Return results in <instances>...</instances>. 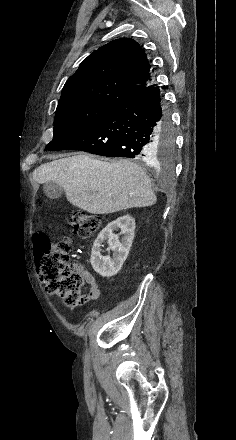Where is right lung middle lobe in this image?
<instances>
[{
    "instance_id": "right-lung-middle-lobe-1",
    "label": "right lung middle lobe",
    "mask_w": 236,
    "mask_h": 440,
    "mask_svg": "<svg viewBox=\"0 0 236 440\" xmlns=\"http://www.w3.org/2000/svg\"><path fill=\"white\" fill-rule=\"evenodd\" d=\"M116 106L93 101H74L58 104L54 119L53 140L45 150L60 146L70 138L84 132ZM158 157L163 163L171 160L174 152V136L164 131L156 140Z\"/></svg>"
}]
</instances>
